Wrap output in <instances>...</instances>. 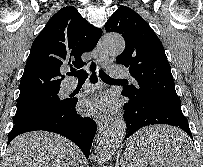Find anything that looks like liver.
Returning <instances> with one entry per match:
<instances>
[{
    "label": "liver",
    "mask_w": 203,
    "mask_h": 167,
    "mask_svg": "<svg viewBox=\"0 0 203 167\" xmlns=\"http://www.w3.org/2000/svg\"><path fill=\"white\" fill-rule=\"evenodd\" d=\"M144 139L157 140L164 160H175L184 151L180 144L187 141V135L172 127H150L131 137L127 147L132 149ZM81 162L80 151L72 142L57 134L36 131L12 140L4 167H80Z\"/></svg>",
    "instance_id": "liver-1"
}]
</instances>
